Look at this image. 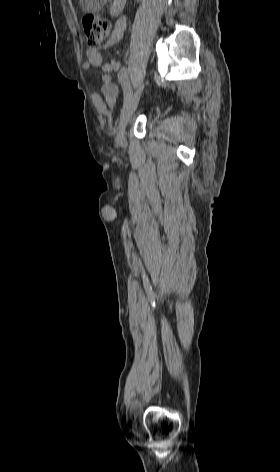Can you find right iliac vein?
Returning a JSON list of instances; mask_svg holds the SVG:
<instances>
[{"instance_id": "1", "label": "right iliac vein", "mask_w": 280, "mask_h": 472, "mask_svg": "<svg viewBox=\"0 0 280 472\" xmlns=\"http://www.w3.org/2000/svg\"><path fill=\"white\" fill-rule=\"evenodd\" d=\"M143 90V86H140L136 93L131 97L129 102L124 106L121 115H120V122L117 131V142L125 148L127 146L126 140V126L131 119L134 111L137 108L141 92Z\"/></svg>"}]
</instances>
